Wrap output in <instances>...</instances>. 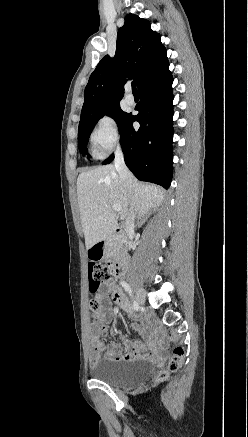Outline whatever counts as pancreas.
<instances>
[{
    "mask_svg": "<svg viewBox=\"0 0 248 437\" xmlns=\"http://www.w3.org/2000/svg\"><path fill=\"white\" fill-rule=\"evenodd\" d=\"M108 245H109L110 251H112L113 253H116L120 250L122 243L120 240H111Z\"/></svg>",
    "mask_w": 248,
    "mask_h": 437,
    "instance_id": "1",
    "label": "pancreas"
}]
</instances>
